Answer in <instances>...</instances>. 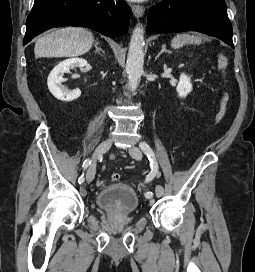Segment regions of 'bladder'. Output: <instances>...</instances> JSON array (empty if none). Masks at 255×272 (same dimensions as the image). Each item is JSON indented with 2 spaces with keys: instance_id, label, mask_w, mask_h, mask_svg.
I'll use <instances>...</instances> for the list:
<instances>
[{
  "instance_id": "1",
  "label": "bladder",
  "mask_w": 255,
  "mask_h": 272,
  "mask_svg": "<svg viewBox=\"0 0 255 272\" xmlns=\"http://www.w3.org/2000/svg\"><path fill=\"white\" fill-rule=\"evenodd\" d=\"M97 207L115 213H132L139 206L137 192L126 183L109 184L94 197Z\"/></svg>"
}]
</instances>
